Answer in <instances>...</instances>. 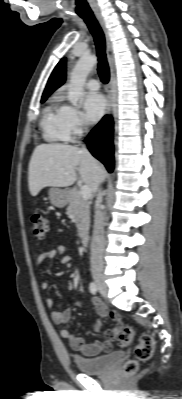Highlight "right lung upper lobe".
Instances as JSON below:
<instances>
[{
	"instance_id": "obj_1",
	"label": "right lung upper lobe",
	"mask_w": 182,
	"mask_h": 399,
	"mask_svg": "<svg viewBox=\"0 0 182 399\" xmlns=\"http://www.w3.org/2000/svg\"><path fill=\"white\" fill-rule=\"evenodd\" d=\"M66 79V61L62 59L55 69L53 70L46 88L43 92L42 98H47L52 92H54L57 88H59Z\"/></svg>"
}]
</instances>
